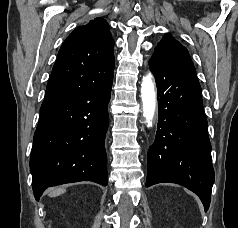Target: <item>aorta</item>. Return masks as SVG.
Segmentation results:
<instances>
[{
  "instance_id": "1",
  "label": "aorta",
  "mask_w": 238,
  "mask_h": 228,
  "mask_svg": "<svg viewBox=\"0 0 238 228\" xmlns=\"http://www.w3.org/2000/svg\"><path fill=\"white\" fill-rule=\"evenodd\" d=\"M141 100L143 107V116L147 127H152L156 111V91L155 82L153 81L152 75L149 73L142 79L141 84Z\"/></svg>"
}]
</instances>
